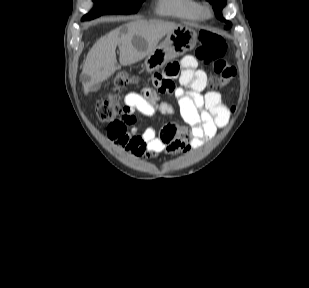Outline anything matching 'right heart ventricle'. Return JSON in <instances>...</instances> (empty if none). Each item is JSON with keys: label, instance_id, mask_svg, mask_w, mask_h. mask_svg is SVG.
Wrapping results in <instances>:
<instances>
[{"label": "right heart ventricle", "instance_id": "obj_1", "mask_svg": "<svg viewBox=\"0 0 309 288\" xmlns=\"http://www.w3.org/2000/svg\"><path fill=\"white\" fill-rule=\"evenodd\" d=\"M157 12L188 21L203 18V7L197 0H157Z\"/></svg>", "mask_w": 309, "mask_h": 288}]
</instances>
